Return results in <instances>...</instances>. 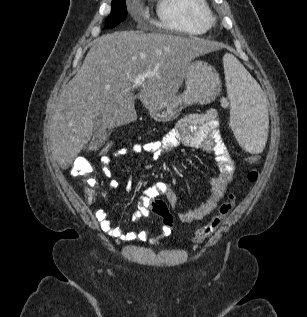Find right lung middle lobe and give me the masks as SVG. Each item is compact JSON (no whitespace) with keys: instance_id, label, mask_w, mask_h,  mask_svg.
<instances>
[{"instance_id":"dd1d6c3e","label":"right lung middle lobe","mask_w":307,"mask_h":317,"mask_svg":"<svg viewBox=\"0 0 307 317\" xmlns=\"http://www.w3.org/2000/svg\"><path fill=\"white\" fill-rule=\"evenodd\" d=\"M127 16L125 0L112 1V11L107 18L106 28H113L124 21Z\"/></svg>"}]
</instances>
